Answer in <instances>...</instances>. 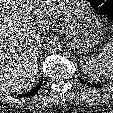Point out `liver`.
Returning a JSON list of instances; mask_svg holds the SVG:
<instances>
[{
	"mask_svg": "<svg viewBox=\"0 0 113 113\" xmlns=\"http://www.w3.org/2000/svg\"><path fill=\"white\" fill-rule=\"evenodd\" d=\"M66 0H0V88L31 90L38 73L40 32L48 17L67 11Z\"/></svg>",
	"mask_w": 113,
	"mask_h": 113,
	"instance_id": "obj_1",
	"label": "liver"
}]
</instances>
